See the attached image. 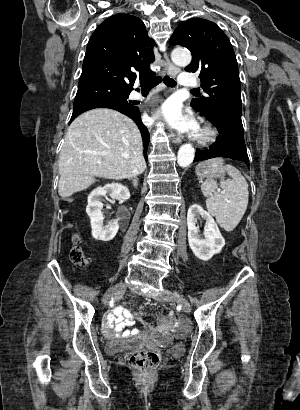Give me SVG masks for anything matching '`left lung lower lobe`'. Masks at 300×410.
Masks as SVG:
<instances>
[{
    "label": "left lung lower lobe",
    "instance_id": "left-lung-lower-lobe-1",
    "mask_svg": "<svg viewBox=\"0 0 300 410\" xmlns=\"http://www.w3.org/2000/svg\"><path fill=\"white\" fill-rule=\"evenodd\" d=\"M208 120L216 126L219 136L208 150H196L194 162L226 157L243 161L249 166L241 115L221 110L214 113Z\"/></svg>",
    "mask_w": 300,
    "mask_h": 410
}]
</instances>
